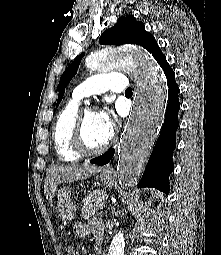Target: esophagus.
<instances>
[{
	"instance_id": "obj_1",
	"label": "esophagus",
	"mask_w": 221,
	"mask_h": 255,
	"mask_svg": "<svg viewBox=\"0 0 221 255\" xmlns=\"http://www.w3.org/2000/svg\"><path fill=\"white\" fill-rule=\"evenodd\" d=\"M105 171H112V167L110 165H107L105 168H104Z\"/></svg>"
}]
</instances>
